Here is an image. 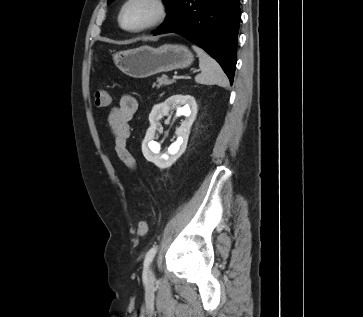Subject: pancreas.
I'll list each match as a JSON object with an SVG mask.
<instances>
[{
  "mask_svg": "<svg viewBox=\"0 0 363 317\" xmlns=\"http://www.w3.org/2000/svg\"><path fill=\"white\" fill-rule=\"evenodd\" d=\"M158 86L162 85H170L173 83V80H169L167 76L163 75L162 77L157 78Z\"/></svg>",
  "mask_w": 363,
  "mask_h": 317,
  "instance_id": "cf45deb5",
  "label": "pancreas"
}]
</instances>
